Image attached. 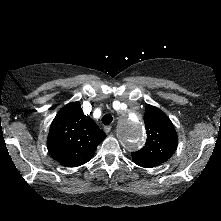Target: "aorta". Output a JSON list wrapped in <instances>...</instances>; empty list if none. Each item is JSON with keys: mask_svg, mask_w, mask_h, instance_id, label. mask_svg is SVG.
I'll return each instance as SVG.
<instances>
[{"mask_svg": "<svg viewBox=\"0 0 221 221\" xmlns=\"http://www.w3.org/2000/svg\"><path fill=\"white\" fill-rule=\"evenodd\" d=\"M118 137L129 150H136L145 140V129L142 117L135 111H128L121 120Z\"/></svg>", "mask_w": 221, "mask_h": 221, "instance_id": "762f6f07", "label": "aorta"}]
</instances>
